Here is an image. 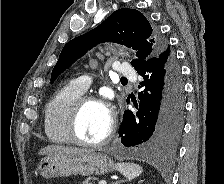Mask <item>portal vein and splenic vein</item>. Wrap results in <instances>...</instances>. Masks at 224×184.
<instances>
[{"mask_svg":"<svg viewBox=\"0 0 224 184\" xmlns=\"http://www.w3.org/2000/svg\"><path fill=\"white\" fill-rule=\"evenodd\" d=\"M98 184H107V182L105 180H101L98 182Z\"/></svg>","mask_w":224,"mask_h":184,"instance_id":"1","label":"portal vein and splenic vein"}]
</instances>
